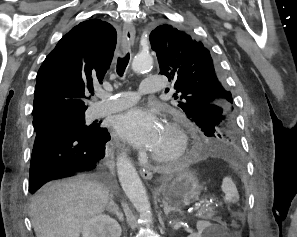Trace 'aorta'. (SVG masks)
<instances>
[{
  "label": "aorta",
  "mask_w": 297,
  "mask_h": 237,
  "mask_svg": "<svg viewBox=\"0 0 297 237\" xmlns=\"http://www.w3.org/2000/svg\"><path fill=\"white\" fill-rule=\"evenodd\" d=\"M153 65V58L149 54H138L132 62V70L140 73ZM117 170L121 186L141 217L152 219L151 205L142 181L127 155L122 153L117 158Z\"/></svg>",
  "instance_id": "1"
}]
</instances>
